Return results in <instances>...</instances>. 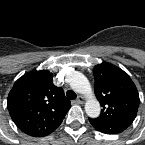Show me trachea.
<instances>
[{"label": "trachea", "instance_id": "obj_1", "mask_svg": "<svg viewBox=\"0 0 145 145\" xmlns=\"http://www.w3.org/2000/svg\"><path fill=\"white\" fill-rule=\"evenodd\" d=\"M66 96L70 100H73V99H75L77 97L76 93L74 91H72V90H68L66 92Z\"/></svg>", "mask_w": 145, "mask_h": 145}]
</instances>
